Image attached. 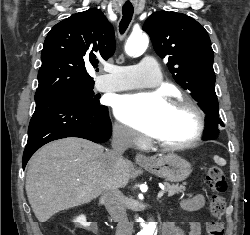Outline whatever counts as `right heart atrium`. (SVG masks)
I'll list each match as a JSON object with an SVG mask.
<instances>
[{"instance_id": "d8ad5b80", "label": "right heart atrium", "mask_w": 250, "mask_h": 235, "mask_svg": "<svg viewBox=\"0 0 250 235\" xmlns=\"http://www.w3.org/2000/svg\"><path fill=\"white\" fill-rule=\"evenodd\" d=\"M112 130L115 139L124 145H136L145 142L142 136L119 121L113 124Z\"/></svg>"}]
</instances>
